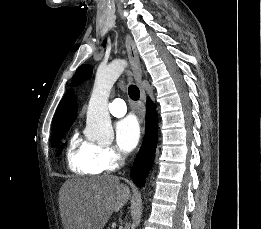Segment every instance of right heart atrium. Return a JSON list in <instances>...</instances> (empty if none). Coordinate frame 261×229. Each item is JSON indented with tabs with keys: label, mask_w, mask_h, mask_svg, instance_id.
I'll list each match as a JSON object with an SVG mask.
<instances>
[{
	"label": "right heart atrium",
	"mask_w": 261,
	"mask_h": 229,
	"mask_svg": "<svg viewBox=\"0 0 261 229\" xmlns=\"http://www.w3.org/2000/svg\"><path fill=\"white\" fill-rule=\"evenodd\" d=\"M125 163V155L114 145L99 144L95 156V164L101 172H113Z\"/></svg>",
	"instance_id": "obj_1"
}]
</instances>
